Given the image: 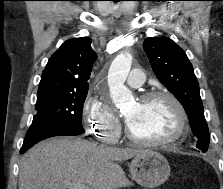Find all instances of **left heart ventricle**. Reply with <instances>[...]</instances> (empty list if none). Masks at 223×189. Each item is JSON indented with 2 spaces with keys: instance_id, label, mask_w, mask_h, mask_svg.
Instances as JSON below:
<instances>
[{
  "instance_id": "b2bd125f",
  "label": "left heart ventricle",
  "mask_w": 223,
  "mask_h": 189,
  "mask_svg": "<svg viewBox=\"0 0 223 189\" xmlns=\"http://www.w3.org/2000/svg\"><path fill=\"white\" fill-rule=\"evenodd\" d=\"M125 117L136 135L150 139L169 136L178 125L175 108L166 98L136 101L125 112Z\"/></svg>"
}]
</instances>
